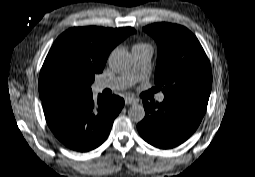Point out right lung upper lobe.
Returning <instances> with one entry per match:
<instances>
[{
    "instance_id": "right-lung-upper-lobe-1",
    "label": "right lung upper lobe",
    "mask_w": 255,
    "mask_h": 177,
    "mask_svg": "<svg viewBox=\"0 0 255 177\" xmlns=\"http://www.w3.org/2000/svg\"><path fill=\"white\" fill-rule=\"evenodd\" d=\"M132 33H135V29L131 27H75L62 33L49 52L65 48L96 71L102 72L112 49Z\"/></svg>"
}]
</instances>
